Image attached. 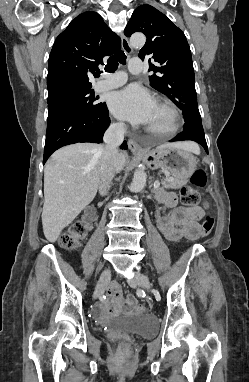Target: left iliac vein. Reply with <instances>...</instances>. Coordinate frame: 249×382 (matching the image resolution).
<instances>
[{
	"label": "left iliac vein",
	"mask_w": 249,
	"mask_h": 382,
	"mask_svg": "<svg viewBox=\"0 0 249 382\" xmlns=\"http://www.w3.org/2000/svg\"><path fill=\"white\" fill-rule=\"evenodd\" d=\"M128 282H129V284L137 283L139 286H141L142 288L147 289V290H149L151 288V284L149 282V279L143 274H140L138 277H136L134 279H130Z\"/></svg>",
	"instance_id": "4c4485c4"
}]
</instances>
